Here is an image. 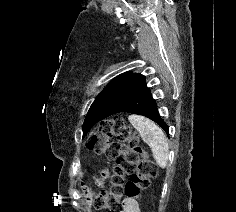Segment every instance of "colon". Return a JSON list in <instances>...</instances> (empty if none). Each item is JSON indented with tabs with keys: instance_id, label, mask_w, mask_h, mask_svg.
<instances>
[{
	"instance_id": "5ec220e1",
	"label": "colon",
	"mask_w": 236,
	"mask_h": 212,
	"mask_svg": "<svg viewBox=\"0 0 236 212\" xmlns=\"http://www.w3.org/2000/svg\"><path fill=\"white\" fill-rule=\"evenodd\" d=\"M111 139H114L111 141ZM88 149L115 161L109 187L101 196H94V205L107 212H120V197L139 198L157 174L155 163L147 157L139 138L132 133L121 117L101 122L98 131L89 139ZM130 175L123 187V176Z\"/></svg>"
}]
</instances>
